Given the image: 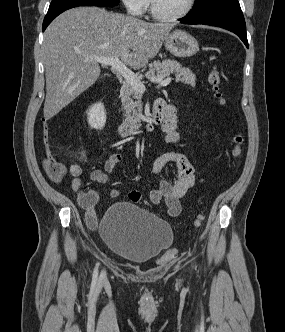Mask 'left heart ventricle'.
<instances>
[{
    "label": "left heart ventricle",
    "instance_id": "1",
    "mask_svg": "<svg viewBox=\"0 0 285 332\" xmlns=\"http://www.w3.org/2000/svg\"><path fill=\"white\" fill-rule=\"evenodd\" d=\"M157 10L164 15H176L182 12L189 0H154Z\"/></svg>",
    "mask_w": 285,
    "mask_h": 332
}]
</instances>
